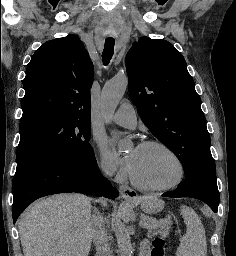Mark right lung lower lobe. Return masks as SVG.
Returning <instances> with one entry per match:
<instances>
[{"mask_svg":"<svg viewBox=\"0 0 236 256\" xmlns=\"http://www.w3.org/2000/svg\"><path fill=\"white\" fill-rule=\"evenodd\" d=\"M87 191L116 198L117 189L104 178L95 156H46L17 167L12 182L13 223L34 200L51 194Z\"/></svg>","mask_w":236,"mask_h":256,"instance_id":"98d812e1","label":"right lung lower lobe"}]
</instances>
